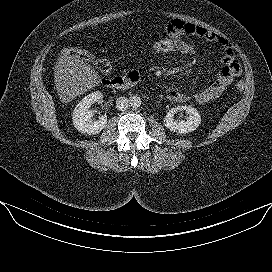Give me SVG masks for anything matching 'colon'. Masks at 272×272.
<instances>
[{
    "instance_id": "1",
    "label": "colon",
    "mask_w": 272,
    "mask_h": 272,
    "mask_svg": "<svg viewBox=\"0 0 272 272\" xmlns=\"http://www.w3.org/2000/svg\"><path fill=\"white\" fill-rule=\"evenodd\" d=\"M143 49L150 54L166 57H177L188 55V49L182 41L170 38L168 36L156 39L143 46ZM61 54L66 58H74L80 61L92 62L96 68L102 73L111 71L110 63L105 59H95V57L86 50L68 47L61 51ZM245 85L243 82L236 84L238 91H243Z\"/></svg>"
}]
</instances>
